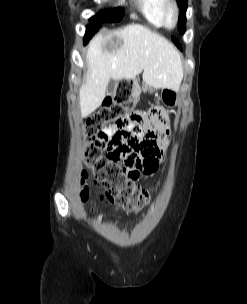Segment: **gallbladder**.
Returning a JSON list of instances; mask_svg holds the SVG:
<instances>
[{
	"label": "gallbladder",
	"mask_w": 247,
	"mask_h": 304,
	"mask_svg": "<svg viewBox=\"0 0 247 304\" xmlns=\"http://www.w3.org/2000/svg\"><path fill=\"white\" fill-rule=\"evenodd\" d=\"M117 87V81L114 79H110L106 88V94L111 95L115 92Z\"/></svg>",
	"instance_id": "obj_1"
}]
</instances>
